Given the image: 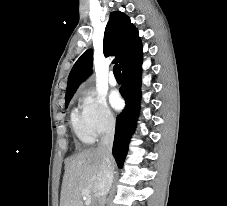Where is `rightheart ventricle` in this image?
Listing matches in <instances>:
<instances>
[{
    "instance_id": "e07e8e85",
    "label": "right heart ventricle",
    "mask_w": 227,
    "mask_h": 206,
    "mask_svg": "<svg viewBox=\"0 0 227 206\" xmlns=\"http://www.w3.org/2000/svg\"><path fill=\"white\" fill-rule=\"evenodd\" d=\"M72 126L77 138L85 144H89L93 141L92 135L86 129L82 116L77 113V111H73L71 115Z\"/></svg>"
}]
</instances>
